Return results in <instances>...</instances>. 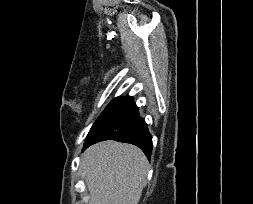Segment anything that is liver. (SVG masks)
<instances>
[{
	"label": "liver",
	"instance_id": "obj_1",
	"mask_svg": "<svg viewBox=\"0 0 253 204\" xmlns=\"http://www.w3.org/2000/svg\"><path fill=\"white\" fill-rule=\"evenodd\" d=\"M80 168L89 204H138L149 163L134 145L104 141L85 151Z\"/></svg>",
	"mask_w": 253,
	"mask_h": 204
}]
</instances>
